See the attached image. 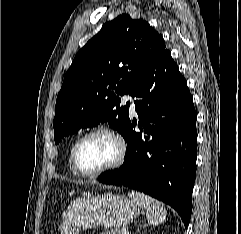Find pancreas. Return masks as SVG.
Listing matches in <instances>:
<instances>
[{"instance_id":"pancreas-1","label":"pancreas","mask_w":241,"mask_h":234,"mask_svg":"<svg viewBox=\"0 0 241 234\" xmlns=\"http://www.w3.org/2000/svg\"><path fill=\"white\" fill-rule=\"evenodd\" d=\"M101 234H124L122 229H110L109 231L102 232Z\"/></svg>"}]
</instances>
